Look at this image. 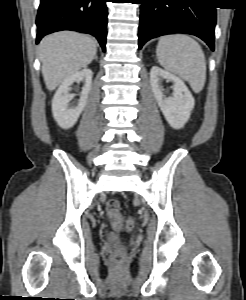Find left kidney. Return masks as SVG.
<instances>
[{
	"instance_id": "obj_1",
	"label": "left kidney",
	"mask_w": 246,
	"mask_h": 300,
	"mask_svg": "<svg viewBox=\"0 0 246 300\" xmlns=\"http://www.w3.org/2000/svg\"><path fill=\"white\" fill-rule=\"evenodd\" d=\"M173 83V95L165 97L162 81ZM150 84L154 97L169 125L174 129H181L190 118L195 100L185 83L174 74L157 66L150 71Z\"/></svg>"
}]
</instances>
